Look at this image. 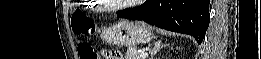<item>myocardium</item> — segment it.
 Masks as SVG:
<instances>
[{
	"label": "myocardium",
	"mask_w": 261,
	"mask_h": 59,
	"mask_svg": "<svg viewBox=\"0 0 261 59\" xmlns=\"http://www.w3.org/2000/svg\"><path fill=\"white\" fill-rule=\"evenodd\" d=\"M97 2L99 3V5L101 6L102 9L109 11V12H115V11L123 10V9H126L130 6L129 4L111 5L107 1H104V0L103 1L99 0Z\"/></svg>",
	"instance_id": "obj_1"
}]
</instances>
